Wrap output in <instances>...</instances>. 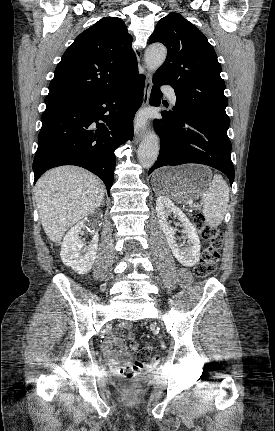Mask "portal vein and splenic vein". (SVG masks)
I'll return each instance as SVG.
<instances>
[{
  "instance_id": "18ae733b",
  "label": "portal vein and splenic vein",
  "mask_w": 275,
  "mask_h": 431,
  "mask_svg": "<svg viewBox=\"0 0 275 431\" xmlns=\"http://www.w3.org/2000/svg\"><path fill=\"white\" fill-rule=\"evenodd\" d=\"M189 204H192V200H189Z\"/></svg>"
}]
</instances>
